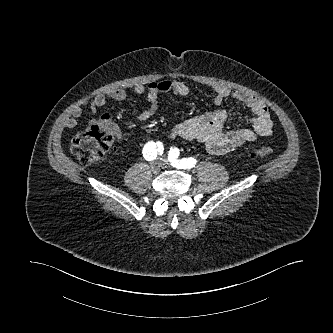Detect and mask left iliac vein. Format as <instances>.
I'll list each match as a JSON object with an SVG mask.
<instances>
[{"label": "left iliac vein", "mask_w": 333, "mask_h": 333, "mask_svg": "<svg viewBox=\"0 0 333 333\" xmlns=\"http://www.w3.org/2000/svg\"><path fill=\"white\" fill-rule=\"evenodd\" d=\"M161 162H162V165H163L164 167H168V166H169V163H168V161L166 160L165 156H163V157L161 158Z\"/></svg>", "instance_id": "4c4485c4"}]
</instances>
